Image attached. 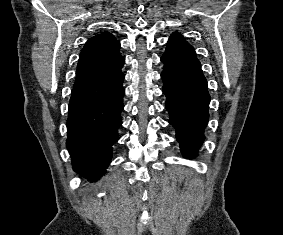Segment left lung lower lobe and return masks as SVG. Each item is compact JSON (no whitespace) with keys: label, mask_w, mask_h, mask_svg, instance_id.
Here are the masks:
<instances>
[{"label":"left lung lower lobe","mask_w":283,"mask_h":235,"mask_svg":"<svg viewBox=\"0 0 283 235\" xmlns=\"http://www.w3.org/2000/svg\"><path fill=\"white\" fill-rule=\"evenodd\" d=\"M163 62V61H162ZM170 124L186 157H194L204 141L210 96L201 68L164 62L161 74Z\"/></svg>","instance_id":"0a47b994"}]
</instances>
